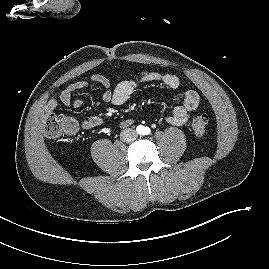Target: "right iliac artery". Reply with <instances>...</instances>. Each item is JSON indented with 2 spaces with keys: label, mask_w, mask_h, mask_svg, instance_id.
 Here are the masks:
<instances>
[{
  "label": "right iliac artery",
  "mask_w": 269,
  "mask_h": 269,
  "mask_svg": "<svg viewBox=\"0 0 269 269\" xmlns=\"http://www.w3.org/2000/svg\"><path fill=\"white\" fill-rule=\"evenodd\" d=\"M137 129H138L139 132H142L143 127L142 126H139Z\"/></svg>",
  "instance_id": "82829eb1"
}]
</instances>
